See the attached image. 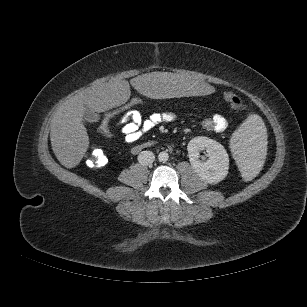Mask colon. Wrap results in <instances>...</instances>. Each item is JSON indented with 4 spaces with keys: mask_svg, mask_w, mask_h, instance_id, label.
<instances>
[{
    "mask_svg": "<svg viewBox=\"0 0 307 307\" xmlns=\"http://www.w3.org/2000/svg\"><path fill=\"white\" fill-rule=\"evenodd\" d=\"M225 100L236 111L246 109L244 102L234 93L226 92ZM147 100L141 96H132L126 101L105 112L99 123V132L106 136H113V126L129 115L130 112L137 110L139 106L145 105ZM86 164L91 168H100L107 164V157L103 150L98 147H91L85 154Z\"/></svg>",
    "mask_w": 307,
    "mask_h": 307,
    "instance_id": "obj_1",
    "label": "colon"
}]
</instances>
